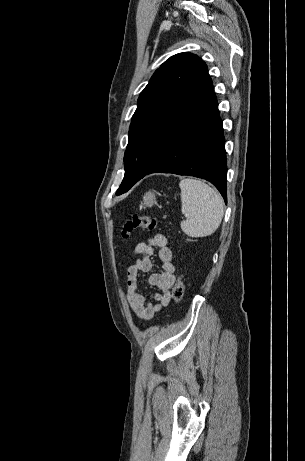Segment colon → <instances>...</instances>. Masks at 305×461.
Here are the masks:
<instances>
[{"label": "colon", "instance_id": "colon-1", "mask_svg": "<svg viewBox=\"0 0 305 461\" xmlns=\"http://www.w3.org/2000/svg\"><path fill=\"white\" fill-rule=\"evenodd\" d=\"M157 227V220L148 216L132 215L124 224L122 228V237L128 238L131 233L137 229L155 230ZM185 285L182 276H179L173 285L171 291V298L175 302L182 300L184 296Z\"/></svg>", "mask_w": 305, "mask_h": 461}]
</instances>
